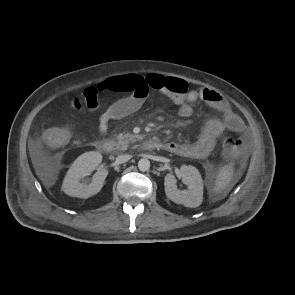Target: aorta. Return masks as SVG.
I'll use <instances>...</instances> for the list:
<instances>
[{"label":"aorta","instance_id":"aorta-1","mask_svg":"<svg viewBox=\"0 0 295 295\" xmlns=\"http://www.w3.org/2000/svg\"><path fill=\"white\" fill-rule=\"evenodd\" d=\"M138 168L140 171L145 172L150 168V161L148 159H140L138 162Z\"/></svg>","mask_w":295,"mask_h":295}]
</instances>
